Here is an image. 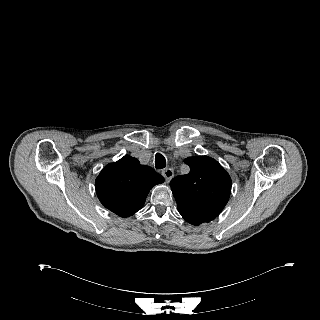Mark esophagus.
Here are the masks:
<instances>
[{"label":"esophagus","mask_w":320,"mask_h":320,"mask_svg":"<svg viewBox=\"0 0 320 320\" xmlns=\"http://www.w3.org/2000/svg\"><path fill=\"white\" fill-rule=\"evenodd\" d=\"M162 175L165 178V180L169 182L174 175V171L171 168H166L162 171Z\"/></svg>","instance_id":"34e87169"}]
</instances>
